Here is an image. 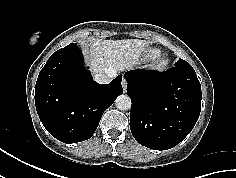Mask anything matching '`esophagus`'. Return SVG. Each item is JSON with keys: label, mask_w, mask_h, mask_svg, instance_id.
Instances as JSON below:
<instances>
[{"label": "esophagus", "mask_w": 236, "mask_h": 178, "mask_svg": "<svg viewBox=\"0 0 236 178\" xmlns=\"http://www.w3.org/2000/svg\"><path fill=\"white\" fill-rule=\"evenodd\" d=\"M123 91L126 92L127 89V80L125 78L122 79L121 81Z\"/></svg>", "instance_id": "esophagus-1"}]
</instances>
